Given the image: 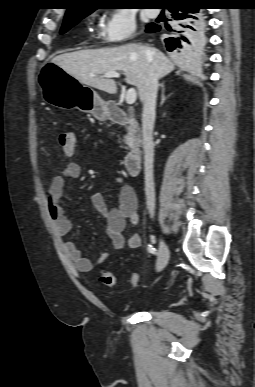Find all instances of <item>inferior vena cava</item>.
Returning <instances> with one entry per match:
<instances>
[{"mask_svg": "<svg viewBox=\"0 0 255 387\" xmlns=\"http://www.w3.org/2000/svg\"><path fill=\"white\" fill-rule=\"evenodd\" d=\"M158 86V76L155 73L153 67L150 66L145 85L140 91V99L143 102L142 131L144 148L145 195L147 208L151 217L154 216L155 210V186L153 177L154 142L152 133L155 122Z\"/></svg>", "mask_w": 255, "mask_h": 387, "instance_id": "inferior-vena-cava-1", "label": "inferior vena cava"}]
</instances>
